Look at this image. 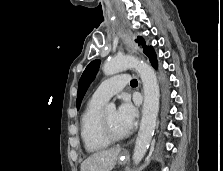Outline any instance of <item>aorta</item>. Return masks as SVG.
<instances>
[{
    "mask_svg": "<svg viewBox=\"0 0 223 171\" xmlns=\"http://www.w3.org/2000/svg\"><path fill=\"white\" fill-rule=\"evenodd\" d=\"M129 68L135 69L139 74L144 92L142 119L133 153V162L137 165L143 159L154 134L159 112L160 93L157 76L153 68L135 57L122 56L109 59L103 65V72L110 76ZM106 109L113 111L116 106L114 103H109Z\"/></svg>",
    "mask_w": 223,
    "mask_h": 171,
    "instance_id": "obj_1",
    "label": "aorta"
}]
</instances>
